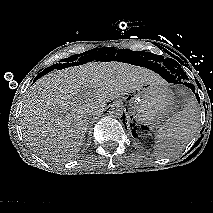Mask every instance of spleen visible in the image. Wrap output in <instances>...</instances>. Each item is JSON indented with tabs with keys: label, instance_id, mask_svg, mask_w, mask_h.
I'll return each mask as SVG.
<instances>
[{
	"label": "spleen",
	"instance_id": "obj_1",
	"mask_svg": "<svg viewBox=\"0 0 213 213\" xmlns=\"http://www.w3.org/2000/svg\"><path fill=\"white\" fill-rule=\"evenodd\" d=\"M199 129V107L191 98L179 112L166 120L156 134V150L166 154L181 150Z\"/></svg>",
	"mask_w": 213,
	"mask_h": 213
}]
</instances>
